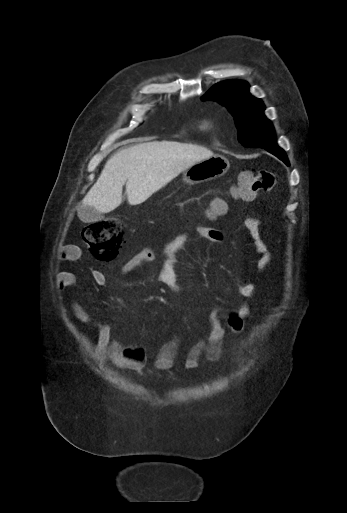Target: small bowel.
Here are the masks:
<instances>
[{"mask_svg": "<svg viewBox=\"0 0 347 513\" xmlns=\"http://www.w3.org/2000/svg\"><path fill=\"white\" fill-rule=\"evenodd\" d=\"M244 228L252 240V246L256 253L260 254L257 262L260 271L265 270L272 260V254L260 232V221L256 217H248L243 222ZM206 240L211 243L224 241V232L220 229L207 226H196L191 231L177 236L168 243L162 251L161 267L158 273L160 281L173 293H179L180 286L174 271L176 255L189 242ZM80 250L77 246L65 247L61 250L63 260L71 261ZM156 254L149 248H143L132 256L122 267L123 274H129L140 267L153 262ZM93 281L99 285L106 284V278L102 271L95 270L91 274ZM55 285L58 290L76 287L75 276L68 271H60L55 276ZM256 284L243 280L237 285V292L244 298L253 297L256 294ZM75 317L82 323L93 326L97 331L96 341L91 349L93 358L98 362L111 361L115 366L131 371L143 369L147 363L145 347L141 344L123 345L111 338V328L108 324L95 322L90 315L79 305H73ZM251 315V308L242 301L235 308L225 309L213 307L209 313L208 326L205 335L186 353L184 361L185 369H196L200 365L204 355L210 362H217L222 352V343L227 333L239 334L244 329L245 320ZM153 332L144 330L140 337L151 339ZM177 357V339L166 343L161 347L154 358V367L158 371H168L175 366Z\"/></svg>", "mask_w": 347, "mask_h": 513, "instance_id": "small-bowel-1", "label": "small bowel"}]
</instances>
